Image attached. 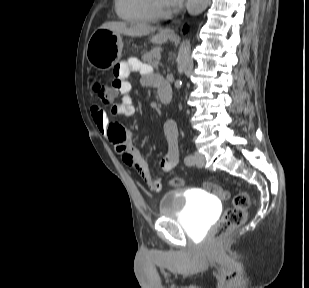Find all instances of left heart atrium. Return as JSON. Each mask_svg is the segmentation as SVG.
Instances as JSON below:
<instances>
[{
  "instance_id": "obj_1",
  "label": "left heart atrium",
  "mask_w": 309,
  "mask_h": 288,
  "mask_svg": "<svg viewBox=\"0 0 309 288\" xmlns=\"http://www.w3.org/2000/svg\"><path fill=\"white\" fill-rule=\"evenodd\" d=\"M164 1L168 7H176L181 3L182 0H164Z\"/></svg>"
}]
</instances>
